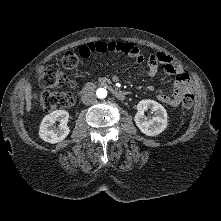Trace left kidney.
<instances>
[{"label":"left kidney","mask_w":221,"mask_h":221,"mask_svg":"<svg viewBox=\"0 0 221 221\" xmlns=\"http://www.w3.org/2000/svg\"><path fill=\"white\" fill-rule=\"evenodd\" d=\"M151 109L154 116L148 119L144 112ZM135 115L136 126L147 136H157L167 127V112L165 108L154 100H142L137 105Z\"/></svg>","instance_id":"5707ae66"}]
</instances>
